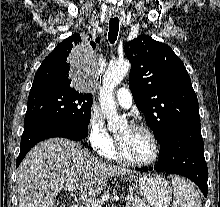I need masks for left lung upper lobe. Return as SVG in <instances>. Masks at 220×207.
<instances>
[{"label": "left lung upper lobe", "instance_id": "5c2ea615", "mask_svg": "<svg viewBox=\"0 0 220 207\" xmlns=\"http://www.w3.org/2000/svg\"><path fill=\"white\" fill-rule=\"evenodd\" d=\"M137 108L159 143L188 123L200 122L197 96L183 62L166 44L139 35L125 45Z\"/></svg>", "mask_w": 220, "mask_h": 207}]
</instances>
